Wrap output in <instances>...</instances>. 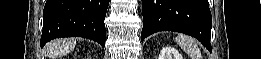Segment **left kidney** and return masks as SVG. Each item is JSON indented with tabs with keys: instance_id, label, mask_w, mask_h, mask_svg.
<instances>
[{
	"instance_id": "1",
	"label": "left kidney",
	"mask_w": 261,
	"mask_h": 59,
	"mask_svg": "<svg viewBox=\"0 0 261 59\" xmlns=\"http://www.w3.org/2000/svg\"><path fill=\"white\" fill-rule=\"evenodd\" d=\"M159 59H182V56L175 48L167 46L160 51Z\"/></svg>"
}]
</instances>
